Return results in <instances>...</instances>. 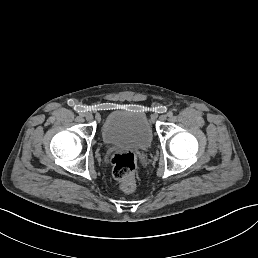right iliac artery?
Masks as SVG:
<instances>
[{"mask_svg": "<svg viewBox=\"0 0 258 258\" xmlns=\"http://www.w3.org/2000/svg\"><path fill=\"white\" fill-rule=\"evenodd\" d=\"M79 115H80L81 117H83V116H84V113L81 112Z\"/></svg>", "mask_w": 258, "mask_h": 258, "instance_id": "obj_1", "label": "right iliac artery"}]
</instances>
